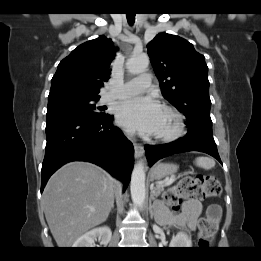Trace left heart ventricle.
Returning a JSON list of instances; mask_svg holds the SVG:
<instances>
[{"label": "left heart ventricle", "instance_id": "left-heart-ventricle-1", "mask_svg": "<svg viewBox=\"0 0 261 261\" xmlns=\"http://www.w3.org/2000/svg\"><path fill=\"white\" fill-rule=\"evenodd\" d=\"M173 124L174 123L172 118L165 113L158 134H164L170 132L173 129Z\"/></svg>", "mask_w": 261, "mask_h": 261}]
</instances>
